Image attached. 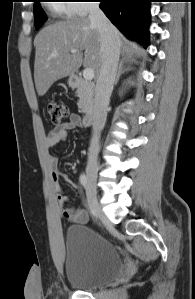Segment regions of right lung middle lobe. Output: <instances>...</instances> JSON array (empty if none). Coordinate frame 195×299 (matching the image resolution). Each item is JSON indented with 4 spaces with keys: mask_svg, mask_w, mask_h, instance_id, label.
I'll list each match as a JSON object with an SVG mask.
<instances>
[{
    "mask_svg": "<svg viewBox=\"0 0 195 299\" xmlns=\"http://www.w3.org/2000/svg\"><path fill=\"white\" fill-rule=\"evenodd\" d=\"M39 2L40 0H34V19L36 29H39V27L47 20Z\"/></svg>",
    "mask_w": 195,
    "mask_h": 299,
    "instance_id": "obj_1",
    "label": "right lung middle lobe"
}]
</instances>
